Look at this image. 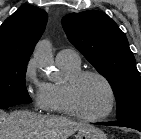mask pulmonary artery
Wrapping results in <instances>:
<instances>
[{
	"label": "pulmonary artery",
	"mask_w": 141,
	"mask_h": 139,
	"mask_svg": "<svg viewBox=\"0 0 141 139\" xmlns=\"http://www.w3.org/2000/svg\"><path fill=\"white\" fill-rule=\"evenodd\" d=\"M56 62L78 64L80 63V58L76 51L72 49H62L56 55Z\"/></svg>",
	"instance_id": "1"
}]
</instances>
